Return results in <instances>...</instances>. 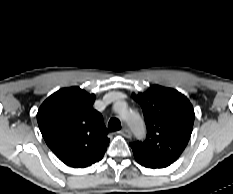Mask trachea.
<instances>
[{"label": "trachea", "mask_w": 233, "mask_h": 194, "mask_svg": "<svg viewBox=\"0 0 233 194\" xmlns=\"http://www.w3.org/2000/svg\"><path fill=\"white\" fill-rule=\"evenodd\" d=\"M108 128L110 131H118L121 129V123L119 121V119L117 118H112L110 119L109 123H108Z\"/></svg>", "instance_id": "trachea-1"}]
</instances>
